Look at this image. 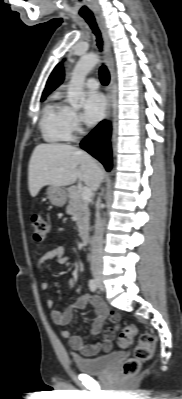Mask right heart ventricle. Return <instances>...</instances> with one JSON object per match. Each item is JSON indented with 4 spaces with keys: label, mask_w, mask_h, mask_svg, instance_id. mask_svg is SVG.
<instances>
[{
    "label": "right heart ventricle",
    "mask_w": 182,
    "mask_h": 399,
    "mask_svg": "<svg viewBox=\"0 0 182 399\" xmlns=\"http://www.w3.org/2000/svg\"><path fill=\"white\" fill-rule=\"evenodd\" d=\"M68 112L69 108L57 100L50 101L44 107L40 127L46 141L65 142L72 138Z\"/></svg>",
    "instance_id": "1"
}]
</instances>
